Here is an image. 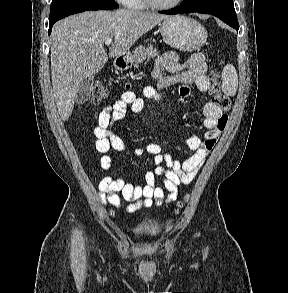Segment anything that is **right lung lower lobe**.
Segmentation results:
<instances>
[{"instance_id": "98d812e1", "label": "right lung lower lobe", "mask_w": 288, "mask_h": 293, "mask_svg": "<svg viewBox=\"0 0 288 293\" xmlns=\"http://www.w3.org/2000/svg\"><path fill=\"white\" fill-rule=\"evenodd\" d=\"M87 10H99V8H93V7L80 8V9H76V10H73V11L67 12V13H65V14H63V15H61V16H59V17H56V18H54V19L49 20V30H48V35L51 34L52 26H53V24H54L56 21H58V20H60V19H62V18H64V17H67V16H69V15H72V14H75V13H79V12H83V11H87Z\"/></svg>"}]
</instances>
